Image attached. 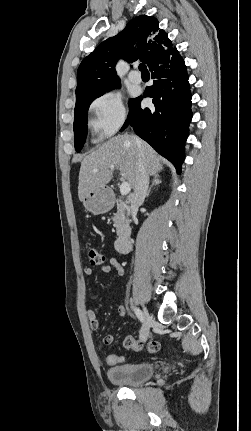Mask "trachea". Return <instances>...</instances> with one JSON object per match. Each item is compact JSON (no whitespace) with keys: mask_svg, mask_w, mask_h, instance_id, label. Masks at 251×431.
<instances>
[{"mask_svg":"<svg viewBox=\"0 0 251 431\" xmlns=\"http://www.w3.org/2000/svg\"><path fill=\"white\" fill-rule=\"evenodd\" d=\"M139 70L141 71L142 74L148 73L147 67L145 64L141 63L139 65Z\"/></svg>","mask_w":251,"mask_h":431,"instance_id":"obj_1","label":"trachea"}]
</instances>
